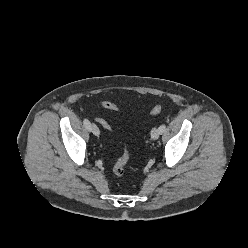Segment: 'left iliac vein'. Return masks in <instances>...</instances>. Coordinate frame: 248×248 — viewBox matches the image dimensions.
Instances as JSON below:
<instances>
[{
  "label": "left iliac vein",
  "instance_id": "obj_1",
  "mask_svg": "<svg viewBox=\"0 0 248 248\" xmlns=\"http://www.w3.org/2000/svg\"><path fill=\"white\" fill-rule=\"evenodd\" d=\"M159 135H160V131H159V128H153L152 131H151V138L156 140L159 138Z\"/></svg>",
  "mask_w": 248,
  "mask_h": 248
}]
</instances>
